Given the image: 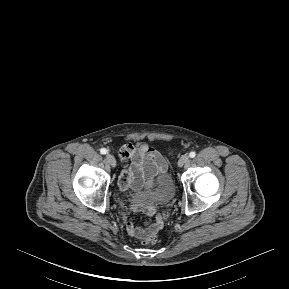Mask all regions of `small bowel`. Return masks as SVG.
<instances>
[{
  "instance_id": "small-bowel-1",
  "label": "small bowel",
  "mask_w": 289,
  "mask_h": 289,
  "mask_svg": "<svg viewBox=\"0 0 289 289\" xmlns=\"http://www.w3.org/2000/svg\"><path fill=\"white\" fill-rule=\"evenodd\" d=\"M120 156L124 162L123 169L119 176L118 185L122 192L129 190L137 191L142 187L146 191L153 188L155 177L167 171L168 163L165 157L147 143L124 144L120 149ZM132 210L152 215L155 205L141 206L133 204ZM164 225V217L158 215L154 222L146 221L143 225L136 224V217L133 216L127 221V232L131 237L143 240L151 234L157 233Z\"/></svg>"
}]
</instances>
